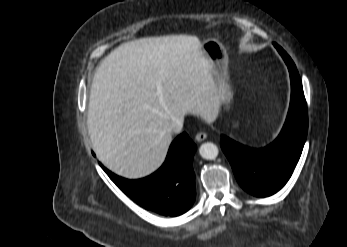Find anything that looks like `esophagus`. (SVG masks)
<instances>
[{"instance_id":"34e87169","label":"esophagus","mask_w":347,"mask_h":247,"mask_svg":"<svg viewBox=\"0 0 347 247\" xmlns=\"http://www.w3.org/2000/svg\"><path fill=\"white\" fill-rule=\"evenodd\" d=\"M207 138V134L205 132H199L195 136V140L198 142H202Z\"/></svg>"}]
</instances>
